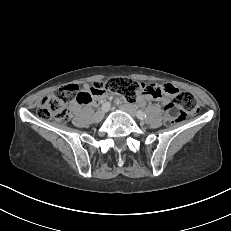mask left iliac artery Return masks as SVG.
Wrapping results in <instances>:
<instances>
[{"label": "left iliac artery", "instance_id": "obj_1", "mask_svg": "<svg viewBox=\"0 0 231 231\" xmlns=\"http://www.w3.org/2000/svg\"><path fill=\"white\" fill-rule=\"evenodd\" d=\"M137 117H138L139 119H145V118L147 117V115H146L145 112L139 110V111L137 112Z\"/></svg>", "mask_w": 231, "mask_h": 231}]
</instances>
